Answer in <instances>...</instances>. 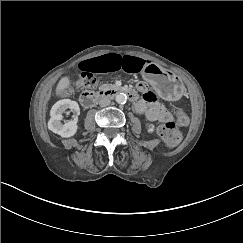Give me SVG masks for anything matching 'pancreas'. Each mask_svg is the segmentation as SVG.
Returning a JSON list of instances; mask_svg holds the SVG:
<instances>
[{
  "label": "pancreas",
  "mask_w": 243,
  "mask_h": 243,
  "mask_svg": "<svg viewBox=\"0 0 243 243\" xmlns=\"http://www.w3.org/2000/svg\"><path fill=\"white\" fill-rule=\"evenodd\" d=\"M115 88H116V85L110 84V83H104L99 86V89L102 91H107V90H111V89H115Z\"/></svg>",
  "instance_id": "obj_1"
}]
</instances>
